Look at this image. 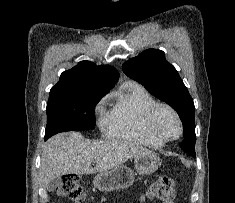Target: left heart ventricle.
<instances>
[{"label":"left heart ventricle","mask_w":235,"mask_h":203,"mask_svg":"<svg viewBox=\"0 0 235 203\" xmlns=\"http://www.w3.org/2000/svg\"><path fill=\"white\" fill-rule=\"evenodd\" d=\"M155 130L161 135L174 137L178 134V124L174 116L167 110H162L154 122Z\"/></svg>","instance_id":"obj_1"}]
</instances>
